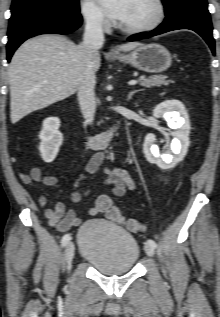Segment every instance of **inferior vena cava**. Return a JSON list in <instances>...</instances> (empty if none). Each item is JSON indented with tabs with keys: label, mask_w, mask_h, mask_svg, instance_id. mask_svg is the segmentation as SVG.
Segmentation results:
<instances>
[{
	"label": "inferior vena cava",
	"mask_w": 220,
	"mask_h": 317,
	"mask_svg": "<svg viewBox=\"0 0 220 317\" xmlns=\"http://www.w3.org/2000/svg\"><path fill=\"white\" fill-rule=\"evenodd\" d=\"M102 17L91 15L86 19L83 35V48L86 52V69L78 87V100L86 124H92L96 111L95 84L93 69L95 53L104 43Z\"/></svg>",
	"instance_id": "1"
}]
</instances>
